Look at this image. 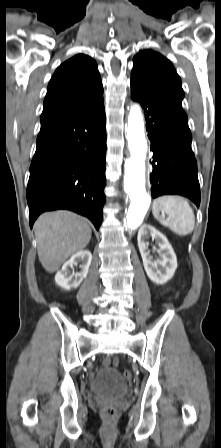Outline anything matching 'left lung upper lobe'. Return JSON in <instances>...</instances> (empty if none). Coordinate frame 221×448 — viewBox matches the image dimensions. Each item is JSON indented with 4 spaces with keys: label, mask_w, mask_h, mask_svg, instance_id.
<instances>
[{
    "label": "left lung upper lobe",
    "mask_w": 221,
    "mask_h": 448,
    "mask_svg": "<svg viewBox=\"0 0 221 448\" xmlns=\"http://www.w3.org/2000/svg\"><path fill=\"white\" fill-rule=\"evenodd\" d=\"M133 64L131 92L188 124L181 105L184 98L181 79L172 63L158 52L144 50L134 57Z\"/></svg>",
    "instance_id": "left-lung-upper-lobe-1"
}]
</instances>
